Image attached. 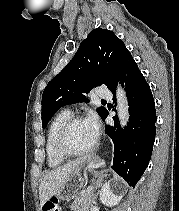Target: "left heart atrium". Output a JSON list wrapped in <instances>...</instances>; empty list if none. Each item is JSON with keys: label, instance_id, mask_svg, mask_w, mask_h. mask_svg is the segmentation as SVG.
<instances>
[{"label": "left heart atrium", "instance_id": "obj_1", "mask_svg": "<svg viewBox=\"0 0 179 211\" xmlns=\"http://www.w3.org/2000/svg\"><path fill=\"white\" fill-rule=\"evenodd\" d=\"M86 126L96 140L100 134V122L95 114H90L85 120Z\"/></svg>", "mask_w": 179, "mask_h": 211}]
</instances>
